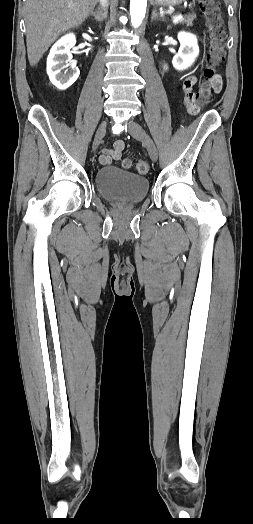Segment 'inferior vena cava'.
I'll return each mask as SVG.
<instances>
[{
	"label": "inferior vena cava",
	"mask_w": 253,
	"mask_h": 524,
	"mask_svg": "<svg viewBox=\"0 0 253 524\" xmlns=\"http://www.w3.org/2000/svg\"><path fill=\"white\" fill-rule=\"evenodd\" d=\"M101 7L106 8L108 6V0H99Z\"/></svg>",
	"instance_id": "inferior-vena-cava-1"
}]
</instances>
